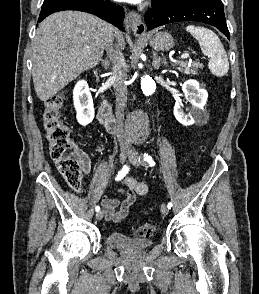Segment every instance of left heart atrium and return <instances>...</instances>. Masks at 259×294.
Listing matches in <instances>:
<instances>
[{
  "label": "left heart atrium",
  "instance_id": "39dd6f15",
  "mask_svg": "<svg viewBox=\"0 0 259 294\" xmlns=\"http://www.w3.org/2000/svg\"><path fill=\"white\" fill-rule=\"evenodd\" d=\"M116 1H121V2H128V3H139L142 0H116Z\"/></svg>",
  "mask_w": 259,
  "mask_h": 294
}]
</instances>
